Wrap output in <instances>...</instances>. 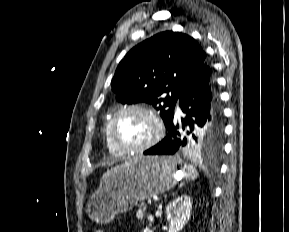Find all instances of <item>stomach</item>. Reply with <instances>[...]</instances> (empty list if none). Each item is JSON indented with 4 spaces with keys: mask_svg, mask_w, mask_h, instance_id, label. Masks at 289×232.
Masks as SVG:
<instances>
[{
    "mask_svg": "<svg viewBox=\"0 0 289 232\" xmlns=\"http://www.w3.org/2000/svg\"><path fill=\"white\" fill-rule=\"evenodd\" d=\"M177 163L174 157L142 156L111 169L88 201L89 218L99 224L109 223L139 201L168 191L177 183Z\"/></svg>",
    "mask_w": 289,
    "mask_h": 232,
    "instance_id": "stomach-1",
    "label": "stomach"
}]
</instances>
